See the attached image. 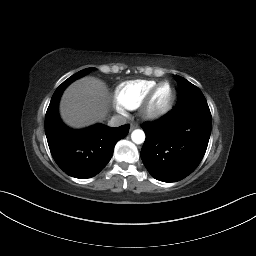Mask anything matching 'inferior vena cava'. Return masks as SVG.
<instances>
[{
    "label": "inferior vena cava",
    "mask_w": 256,
    "mask_h": 256,
    "mask_svg": "<svg viewBox=\"0 0 256 256\" xmlns=\"http://www.w3.org/2000/svg\"><path fill=\"white\" fill-rule=\"evenodd\" d=\"M126 123V118L120 115L113 116L109 121L110 127H118Z\"/></svg>",
    "instance_id": "obj_1"
}]
</instances>
